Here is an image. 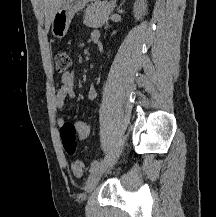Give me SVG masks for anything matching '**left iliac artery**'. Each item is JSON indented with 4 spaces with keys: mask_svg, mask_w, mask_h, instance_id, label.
<instances>
[{
    "mask_svg": "<svg viewBox=\"0 0 216 217\" xmlns=\"http://www.w3.org/2000/svg\"><path fill=\"white\" fill-rule=\"evenodd\" d=\"M99 166V161L98 160H94L92 163H91V167H90V172L95 168Z\"/></svg>",
    "mask_w": 216,
    "mask_h": 217,
    "instance_id": "obj_1",
    "label": "left iliac artery"
}]
</instances>
